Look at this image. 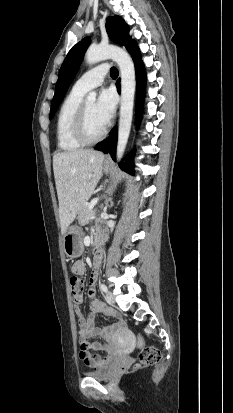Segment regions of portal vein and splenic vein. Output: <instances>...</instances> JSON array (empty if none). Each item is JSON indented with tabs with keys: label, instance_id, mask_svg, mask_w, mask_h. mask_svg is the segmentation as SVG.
I'll return each mask as SVG.
<instances>
[{
	"label": "portal vein and splenic vein",
	"instance_id": "18ae733b",
	"mask_svg": "<svg viewBox=\"0 0 233 413\" xmlns=\"http://www.w3.org/2000/svg\"><path fill=\"white\" fill-rule=\"evenodd\" d=\"M97 201H98V198H95L91 201V203L89 204V209L90 210L93 209V207L96 205Z\"/></svg>",
	"mask_w": 233,
	"mask_h": 413
}]
</instances>
